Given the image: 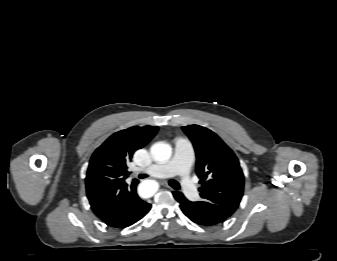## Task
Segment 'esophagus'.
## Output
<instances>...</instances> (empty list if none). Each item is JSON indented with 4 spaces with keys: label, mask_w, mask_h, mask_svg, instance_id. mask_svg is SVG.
<instances>
[{
    "label": "esophagus",
    "mask_w": 337,
    "mask_h": 261,
    "mask_svg": "<svg viewBox=\"0 0 337 261\" xmlns=\"http://www.w3.org/2000/svg\"><path fill=\"white\" fill-rule=\"evenodd\" d=\"M165 187H167L170 190H173L168 184H165Z\"/></svg>",
    "instance_id": "1"
}]
</instances>
